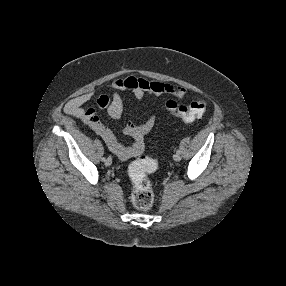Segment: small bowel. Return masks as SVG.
<instances>
[{"mask_svg": "<svg viewBox=\"0 0 286 286\" xmlns=\"http://www.w3.org/2000/svg\"><path fill=\"white\" fill-rule=\"evenodd\" d=\"M113 91L112 96L101 95L98 98L99 107L105 109L112 119H119L123 113L122 92L130 91L137 100L144 96L170 95L183 100L186 89L171 83L147 80L142 77L128 75L115 78L109 84ZM93 97L92 92L77 96L70 100L66 106V113L79 118L87 124L106 143L108 149L120 160H129L140 155L145 148V136L152 130L155 124V116H150L142 124L129 122L124 128V134L132 139L131 145H123L116 139L113 132L104 125L92 108H86L85 104Z\"/></svg>", "mask_w": 286, "mask_h": 286, "instance_id": "1", "label": "small bowel"}]
</instances>
